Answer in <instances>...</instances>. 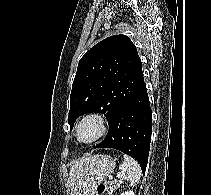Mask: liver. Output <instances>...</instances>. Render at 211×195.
<instances>
[{
  "mask_svg": "<svg viewBox=\"0 0 211 195\" xmlns=\"http://www.w3.org/2000/svg\"><path fill=\"white\" fill-rule=\"evenodd\" d=\"M95 156H86L75 160L70 168L69 180L67 182L70 188V195H79L84 182V176L87 172V165Z\"/></svg>",
  "mask_w": 211,
  "mask_h": 195,
  "instance_id": "6515ba94",
  "label": "liver"
}]
</instances>
